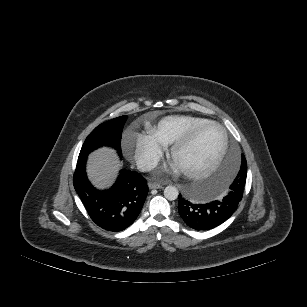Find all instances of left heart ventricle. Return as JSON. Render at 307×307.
<instances>
[{"label":"left heart ventricle","instance_id":"left-heart-ventricle-1","mask_svg":"<svg viewBox=\"0 0 307 307\" xmlns=\"http://www.w3.org/2000/svg\"><path fill=\"white\" fill-rule=\"evenodd\" d=\"M222 141L220 129L216 126H208L175 155L173 162L181 171L202 169L213 161L221 148Z\"/></svg>","mask_w":307,"mask_h":307}]
</instances>
